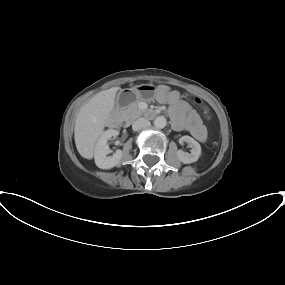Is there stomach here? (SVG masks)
I'll return each mask as SVG.
<instances>
[{
	"instance_id": "0dacf381",
	"label": "stomach",
	"mask_w": 285,
	"mask_h": 285,
	"mask_svg": "<svg viewBox=\"0 0 285 285\" xmlns=\"http://www.w3.org/2000/svg\"><path fill=\"white\" fill-rule=\"evenodd\" d=\"M156 87L152 84H141L131 88L132 101H151Z\"/></svg>"
}]
</instances>
